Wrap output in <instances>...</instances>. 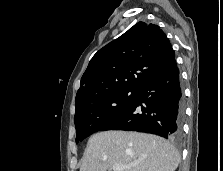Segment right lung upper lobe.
<instances>
[{"mask_svg":"<svg viewBox=\"0 0 223 171\" xmlns=\"http://www.w3.org/2000/svg\"><path fill=\"white\" fill-rule=\"evenodd\" d=\"M174 57L170 41L159 26L138 22L90 60L76 95V109L111 93L138 91Z\"/></svg>","mask_w":223,"mask_h":171,"instance_id":"obj_1","label":"right lung upper lobe"}]
</instances>
